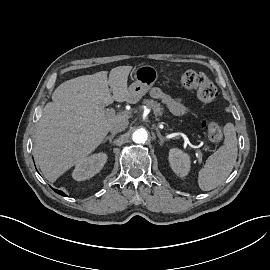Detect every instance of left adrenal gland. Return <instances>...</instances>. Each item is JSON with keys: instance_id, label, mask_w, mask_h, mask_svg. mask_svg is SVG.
I'll use <instances>...</instances> for the list:
<instances>
[{"instance_id": "left-adrenal-gland-1", "label": "left adrenal gland", "mask_w": 270, "mask_h": 270, "mask_svg": "<svg viewBox=\"0 0 270 270\" xmlns=\"http://www.w3.org/2000/svg\"><path fill=\"white\" fill-rule=\"evenodd\" d=\"M156 132H157V136H158V138H159V143H160V145L162 146L163 144H164V138L162 137V135H161V133H160V131L158 130V129H156Z\"/></svg>"}]
</instances>
